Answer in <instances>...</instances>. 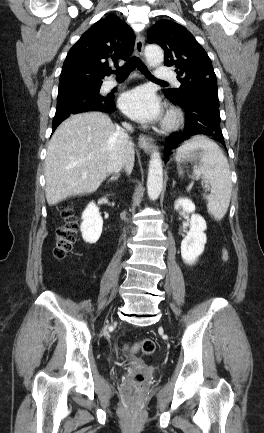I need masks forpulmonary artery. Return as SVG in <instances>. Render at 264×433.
Segmentation results:
<instances>
[{
  "mask_svg": "<svg viewBox=\"0 0 264 433\" xmlns=\"http://www.w3.org/2000/svg\"><path fill=\"white\" fill-rule=\"evenodd\" d=\"M155 78L158 80H173L174 79V73L169 68L166 67H158L156 69ZM178 84V82H175ZM116 85L114 81H108L105 84V87L107 89L113 88Z\"/></svg>",
  "mask_w": 264,
  "mask_h": 433,
  "instance_id": "e3ab8cb5",
  "label": "pulmonary artery"
}]
</instances>
